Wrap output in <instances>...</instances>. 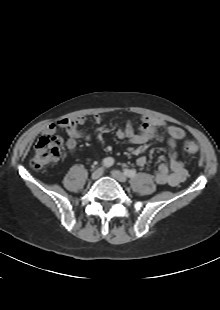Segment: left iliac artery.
Here are the masks:
<instances>
[{
	"label": "left iliac artery",
	"mask_w": 220,
	"mask_h": 310,
	"mask_svg": "<svg viewBox=\"0 0 220 310\" xmlns=\"http://www.w3.org/2000/svg\"><path fill=\"white\" fill-rule=\"evenodd\" d=\"M125 174H126L128 177L133 178V177H135V175H136V171H135L134 169L126 170V171H125Z\"/></svg>",
	"instance_id": "left-iliac-artery-1"
}]
</instances>
